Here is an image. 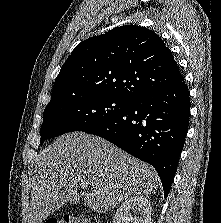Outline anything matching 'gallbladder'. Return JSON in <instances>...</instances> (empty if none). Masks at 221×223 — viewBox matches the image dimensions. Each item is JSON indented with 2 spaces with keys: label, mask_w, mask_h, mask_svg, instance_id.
Listing matches in <instances>:
<instances>
[{
  "label": "gallbladder",
  "mask_w": 221,
  "mask_h": 223,
  "mask_svg": "<svg viewBox=\"0 0 221 223\" xmlns=\"http://www.w3.org/2000/svg\"><path fill=\"white\" fill-rule=\"evenodd\" d=\"M79 196H74L71 198L70 203L71 204H76L79 201Z\"/></svg>",
  "instance_id": "gallbladder-1"
}]
</instances>
